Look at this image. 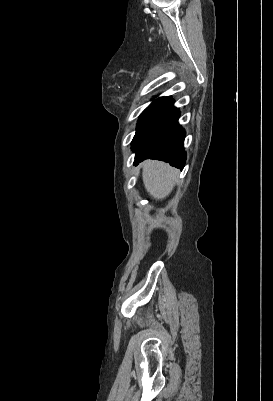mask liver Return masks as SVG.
Wrapping results in <instances>:
<instances>
[{
    "label": "liver",
    "instance_id": "1",
    "mask_svg": "<svg viewBox=\"0 0 273 401\" xmlns=\"http://www.w3.org/2000/svg\"><path fill=\"white\" fill-rule=\"evenodd\" d=\"M178 170L160 162V160H145L143 162L142 178L147 192L154 198H165L177 182Z\"/></svg>",
    "mask_w": 273,
    "mask_h": 401
}]
</instances>
